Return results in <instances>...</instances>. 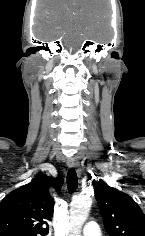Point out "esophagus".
I'll list each match as a JSON object with an SVG mask.
<instances>
[{"mask_svg": "<svg viewBox=\"0 0 145 236\" xmlns=\"http://www.w3.org/2000/svg\"><path fill=\"white\" fill-rule=\"evenodd\" d=\"M67 164L69 168H75L77 171V174L81 176V168L76 158H71Z\"/></svg>", "mask_w": 145, "mask_h": 236, "instance_id": "esophagus-1", "label": "esophagus"}]
</instances>
